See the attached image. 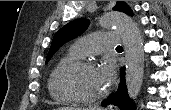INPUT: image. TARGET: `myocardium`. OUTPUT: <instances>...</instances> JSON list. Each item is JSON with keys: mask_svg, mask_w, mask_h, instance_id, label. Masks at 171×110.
Instances as JSON below:
<instances>
[{"mask_svg": "<svg viewBox=\"0 0 171 110\" xmlns=\"http://www.w3.org/2000/svg\"><path fill=\"white\" fill-rule=\"evenodd\" d=\"M88 68V69H96L95 65L88 60L77 59L65 64L57 75V86L62 94L67 96L74 102L83 103V104H94L101 100H103L109 93V89L106 88L103 93L94 97H85L78 93H76L67 83L68 76L79 69Z\"/></svg>", "mask_w": 171, "mask_h": 110, "instance_id": "1", "label": "myocardium"}]
</instances>
